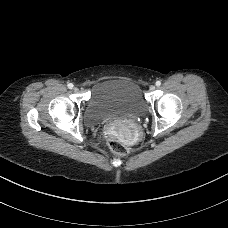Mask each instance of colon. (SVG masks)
<instances>
[{"instance_id":"5ec220e1","label":"colon","mask_w":228,"mask_h":228,"mask_svg":"<svg viewBox=\"0 0 228 228\" xmlns=\"http://www.w3.org/2000/svg\"><path fill=\"white\" fill-rule=\"evenodd\" d=\"M108 145L112 152L117 155H127L129 153L128 146L116 135L108 137Z\"/></svg>"}]
</instances>
